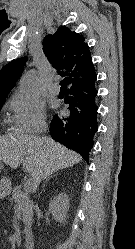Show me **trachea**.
<instances>
[{
  "instance_id": "1",
  "label": "trachea",
  "mask_w": 135,
  "mask_h": 249,
  "mask_svg": "<svg viewBox=\"0 0 135 249\" xmlns=\"http://www.w3.org/2000/svg\"><path fill=\"white\" fill-rule=\"evenodd\" d=\"M60 85H61V88H62V89H66V88H67L66 78L63 79V80L60 82Z\"/></svg>"
}]
</instances>
